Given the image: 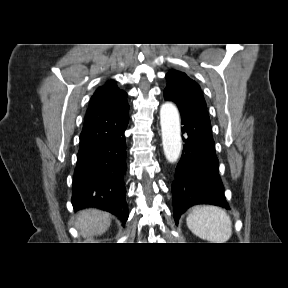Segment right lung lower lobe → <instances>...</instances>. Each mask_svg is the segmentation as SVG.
Listing matches in <instances>:
<instances>
[{
  "label": "right lung lower lobe",
  "mask_w": 288,
  "mask_h": 288,
  "mask_svg": "<svg viewBox=\"0 0 288 288\" xmlns=\"http://www.w3.org/2000/svg\"><path fill=\"white\" fill-rule=\"evenodd\" d=\"M126 128L107 141L79 150L71 199L74 210L97 207L126 223Z\"/></svg>",
  "instance_id": "98d812e1"
}]
</instances>
